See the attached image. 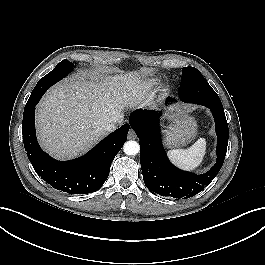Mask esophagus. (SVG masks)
Here are the masks:
<instances>
[{"instance_id": "obj_1", "label": "esophagus", "mask_w": 265, "mask_h": 265, "mask_svg": "<svg viewBox=\"0 0 265 265\" xmlns=\"http://www.w3.org/2000/svg\"><path fill=\"white\" fill-rule=\"evenodd\" d=\"M128 137L129 139H136V134L133 129L129 130Z\"/></svg>"}]
</instances>
